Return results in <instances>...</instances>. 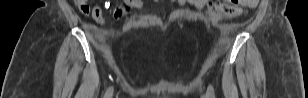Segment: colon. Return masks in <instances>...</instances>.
Wrapping results in <instances>:
<instances>
[{
    "mask_svg": "<svg viewBox=\"0 0 308 98\" xmlns=\"http://www.w3.org/2000/svg\"><path fill=\"white\" fill-rule=\"evenodd\" d=\"M259 0H227L224 2H212L209 1L206 3V14L209 19L213 22L218 21L222 18H232L239 16L244 7H250L256 5ZM75 3L80 8V10L87 14L90 10L89 1L88 0H76ZM125 11L123 9H116L115 15L116 16H123ZM152 15V10L146 9H131L130 15L131 16H146ZM127 21L131 20L130 16L126 17Z\"/></svg>",
    "mask_w": 308,
    "mask_h": 98,
    "instance_id": "obj_1",
    "label": "colon"
}]
</instances>
